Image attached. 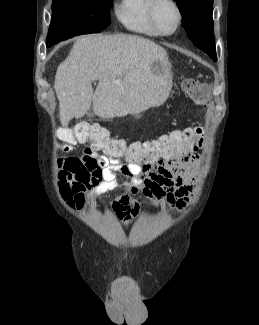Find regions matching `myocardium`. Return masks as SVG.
Here are the masks:
<instances>
[{
	"label": "myocardium",
	"instance_id": "f54148a6",
	"mask_svg": "<svg viewBox=\"0 0 259 325\" xmlns=\"http://www.w3.org/2000/svg\"><path fill=\"white\" fill-rule=\"evenodd\" d=\"M163 1H167V2L171 3L177 11V15H178L177 23H176L175 28L171 32H163L159 28V26L156 22L155 12H156L157 6ZM148 18H149V21H150L152 27L159 35L170 36V35L174 34L180 28V26L183 22V10H182L180 3L177 0H151V3L148 8Z\"/></svg>",
	"mask_w": 259,
	"mask_h": 325
}]
</instances>
